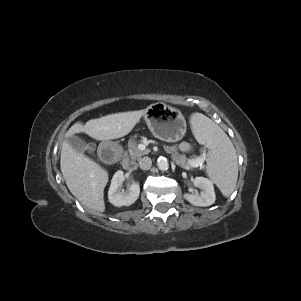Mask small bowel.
I'll return each instance as SVG.
<instances>
[{
  "mask_svg": "<svg viewBox=\"0 0 301 301\" xmlns=\"http://www.w3.org/2000/svg\"><path fill=\"white\" fill-rule=\"evenodd\" d=\"M178 149L183 152H186L190 149V144L188 142H182L178 145Z\"/></svg>",
  "mask_w": 301,
  "mask_h": 301,
  "instance_id": "c3829d8e",
  "label": "small bowel"
}]
</instances>
